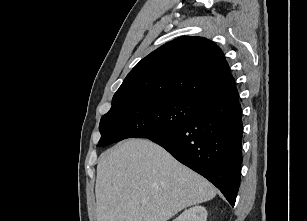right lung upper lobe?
<instances>
[{
	"instance_id": "cb5924a9",
	"label": "right lung upper lobe",
	"mask_w": 307,
	"mask_h": 221,
	"mask_svg": "<svg viewBox=\"0 0 307 221\" xmlns=\"http://www.w3.org/2000/svg\"><path fill=\"white\" fill-rule=\"evenodd\" d=\"M237 95L222 50L206 38L182 36L143 58L127 75L112 103L167 97L204 107Z\"/></svg>"
}]
</instances>
